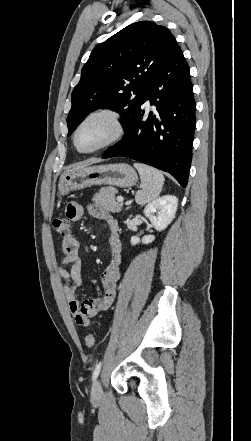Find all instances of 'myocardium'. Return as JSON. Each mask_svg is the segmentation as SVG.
<instances>
[{
  "label": "myocardium",
  "instance_id": "1",
  "mask_svg": "<svg viewBox=\"0 0 251 441\" xmlns=\"http://www.w3.org/2000/svg\"><path fill=\"white\" fill-rule=\"evenodd\" d=\"M95 117L107 118L113 125V133L111 134V136L109 138H107L100 145H98L92 149H89V150H82V149H80V147L78 145V134H79L81 128L89 120H91ZM124 134H125V126H124V123H123V120H122L120 113H118L117 111L110 109V108H98V109H95V110L88 112L81 119V121L78 123V125L74 131V134H73V143H74V146L78 152L83 153V154H92V153L99 152L101 150H104V149L116 144L118 141H120L122 139Z\"/></svg>",
  "mask_w": 251,
  "mask_h": 441
}]
</instances>
